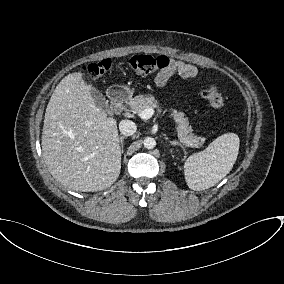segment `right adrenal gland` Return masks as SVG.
Instances as JSON below:
<instances>
[{
	"mask_svg": "<svg viewBox=\"0 0 284 284\" xmlns=\"http://www.w3.org/2000/svg\"><path fill=\"white\" fill-rule=\"evenodd\" d=\"M125 138H126L125 136H121V137L119 138L121 153L124 152V143H123V141H124Z\"/></svg>",
	"mask_w": 284,
	"mask_h": 284,
	"instance_id": "obj_1",
	"label": "right adrenal gland"
}]
</instances>
